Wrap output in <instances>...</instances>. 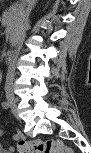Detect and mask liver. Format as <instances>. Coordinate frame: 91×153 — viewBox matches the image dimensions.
Segmentation results:
<instances>
[{
  "label": "liver",
  "instance_id": "liver-1",
  "mask_svg": "<svg viewBox=\"0 0 91 153\" xmlns=\"http://www.w3.org/2000/svg\"><path fill=\"white\" fill-rule=\"evenodd\" d=\"M27 1H22V5H21V8H23L24 7V5H25V3H26ZM20 13H21V11H20Z\"/></svg>",
  "mask_w": 91,
  "mask_h": 153
}]
</instances>
